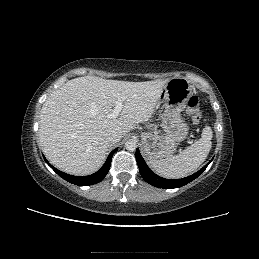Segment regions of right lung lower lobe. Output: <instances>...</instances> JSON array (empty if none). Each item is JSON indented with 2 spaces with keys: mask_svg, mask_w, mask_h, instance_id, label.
Listing matches in <instances>:
<instances>
[{
  "mask_svg": "<svg viewBox=\"0 0 259 259\" xmlns=\"http://www.w3.org/2000/svg\"><path fill=\"white\" fill-rule=\"evenodd\" d=\"M117 151V149H114L108 156L106 162L104 165L101 167L100 170H98L96 173L89 175V176H72L68 175L64 172L59 171L55 167H53L44 157L46 163L63 179L66 181L73 183L78 186H88L92 184H96L104 179L106 174L108 173L110 166H111V159L113 154Z\"/></svg>",
  "mask_w": 259,
  "mask_h": 259,
  "instance_id": "1",
  "label": "right lung lower lobe"
}]
</instances>
